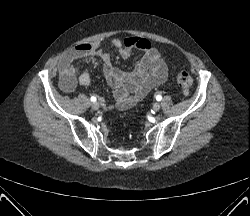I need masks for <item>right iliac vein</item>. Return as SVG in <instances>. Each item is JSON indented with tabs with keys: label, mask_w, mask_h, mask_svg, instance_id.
<instances>
[{
	"label": "right iliac vein",
	"mask_w": 250,
	"mask_h": 216,
	"mask_svg": "<svg viewBox=\"0 0 250 216\" xmlns=\"http://www.w3.org/2000/svg\"><path fill=\"white\" fill-rule=\"evenodd\" d=\"M99 107H100V105H99L98 102H94V103L92 104V108H93L94 110H98Z\"/></svg>",
	"instance_id": "63e3f726"
}]
</instances>
